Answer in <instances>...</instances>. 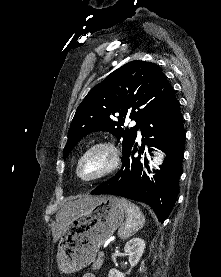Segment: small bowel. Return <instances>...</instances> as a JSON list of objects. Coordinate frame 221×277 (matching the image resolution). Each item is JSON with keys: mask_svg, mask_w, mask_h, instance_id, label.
Listing matches in <instances>:
<instances>
[{"mask_svg": "<svg viewBox=\"0 0 221 277\" xmlns=\"http://www.w3.org/2000/svg\"><path fill=\"white\" fill-rule=\"evenodd\" d=\"M83 277H95V276L93 274H91V273H87Z\"/></svg>", "mask_w": 221, "mask_h": 277, "instance_id": "obj_1", "label": "small bowel"}]
</instances>
